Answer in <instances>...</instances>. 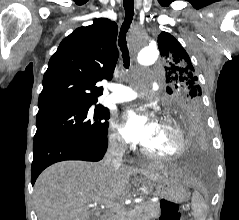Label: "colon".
<instances>
[{
	"mask_svg": "<svg viewBox=\"0 0 239 220\" xmlns=\"http://www.w3.org/2000/svg\"><path fill=\"white\" fill-rule=\"evenodd\" d=\"M189 92H191V89ZM160 208V220H179L178 205L176 203L169 200H161Z\"/></svg>",
	"mask_w": 239,
	"mask_h": 220,
	"instance_id": "5ec220e1",
	"label": "colon"
}]
</instances>
